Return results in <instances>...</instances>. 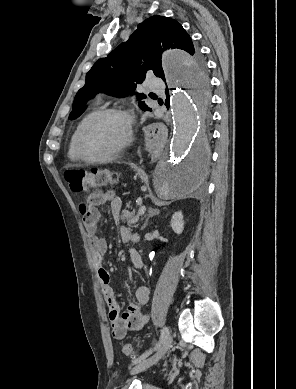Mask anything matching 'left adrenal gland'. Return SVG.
I'll list each match as a JSON object with an SVG mask.
<instances>
[{"label":"left adrenal gland","mask_w":296,"mask_h":389,"mask_svg":"<svg viewBox=\"0 0 296 389\" xmlns=\"http://www.w3.org/2000/svg\"><path fill=\"white\" fill-rule=\"evenodd\" d=\"M160 213V210L159 209H154V208H148V215L146 217V220H145V223L144 225L142 226L141 230H144L147 225H148V221L151 217L155 216V215H158Z\"/></svg>","instance_id":"obj_1"}]
</instances>
